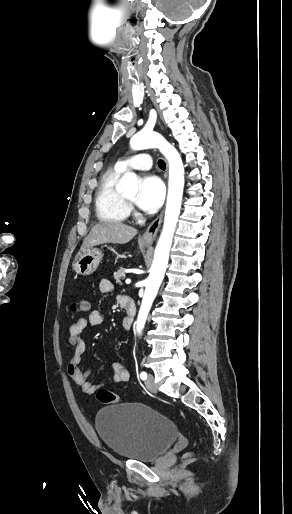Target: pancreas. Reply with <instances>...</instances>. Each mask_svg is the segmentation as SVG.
<instances>
[{
  "label": "pancreas",
  "instance_id": "1",
  "mask_svg": "<svg viewBox=\"0 0 292 514\" xmlns=\"http://www.w3.org/2000/svg\"><path fill=\"white\" fill-rule=\"evenodd\" d=\"M125 270L126 268H119V270L113 274L116 284H120V286H122V280H125Z\"/></svg>",
  "mask_w": 292,
  "mask_h": 514
}]
</instances>
